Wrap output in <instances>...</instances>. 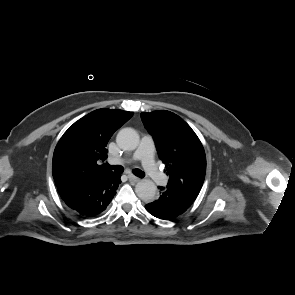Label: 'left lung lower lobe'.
I'll return each mask as SVG.
<instances>
[{
    "mask_svg": "<svg viewBox=\"0 0 295 295\" xmlns=\"http://www.w3.org/2000/svg\"><path fill=\"white\" fill-rule=\"evenodd\" d=\"M159 189L160 197L145 208L151 215L163 220H172L183 214L197 198V195L168 187Z\"/></svg>",
    "mask_w": 295,
    "mask_h": 295,
    "instance_id": "left-lung-lower-lobe-1",
    "label": "left lung lower lobe"
}]
</instances>
